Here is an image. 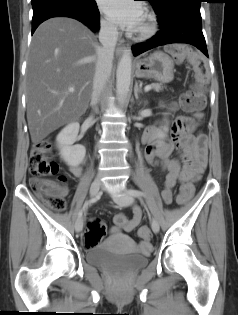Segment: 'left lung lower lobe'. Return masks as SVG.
I'll use <instances>...</instances> for the list:
<instances>
[{
  "instance_id": "left-lung-lower-lobe-1",
  "label": "left lung lower lobe",
  "mask_w": 238,
  "mask_h": 315,
  "mask_svg": "<svg viewBox=\"0 0 238 315\" xmlns=\"http://www.w3.org/2000/svg\"><path fill=\"white\" fill-rule=\"evenodd\" d=\"M201 1H182L156 12L161 30L149 39L132 46L134 56L149 49L171 43L194 45L207 57V47L202 32Z\"/></svg>"
}]
</instances>
